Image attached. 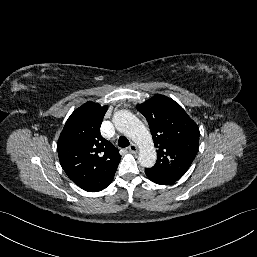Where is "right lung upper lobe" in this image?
Instances as JSON below:
<instances>
[{"mask_svg": "<svg viewBox=\"0 0 257 257\" xmlns=\"http://www.w3.org/2000/svg\"><path fill=\"white\" fill-rule=\"evenodd\" d=\"M107 106L87 102L66 121L57 150L67 176L88 192L108 187L120 162L118 150L100 134Z\"/></svg>", "mask_w": 257, "mask_h": 257, "instance_id": "1", "label": "right lung upper lobe"}]
</instances>
